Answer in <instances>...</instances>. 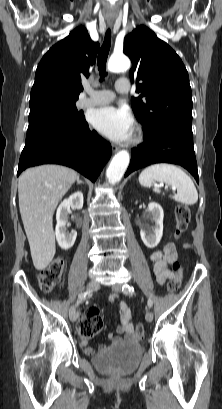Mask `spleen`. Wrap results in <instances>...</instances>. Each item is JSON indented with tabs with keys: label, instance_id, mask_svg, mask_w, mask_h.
<instances>
[{
	"label": "spleen",
	"instance_id": "3e777b00",
	"mask_svg": "<svg viewBox=\"0 0 222 409\" xmlns=\"http://www.w3.org/2000/svg\"><path fill=\"white\" fill-rule=\"evenodd\" d=\"M155 181L165 182L177 188L173 200L186 205H193L198 201V192L191 178L179 167L159 163L145 168L139 175V183L143 187H153V191L160 193Z\"/></svg>",
	"mask_w": 222,
	"mask_h": 409
}]
</instances>
